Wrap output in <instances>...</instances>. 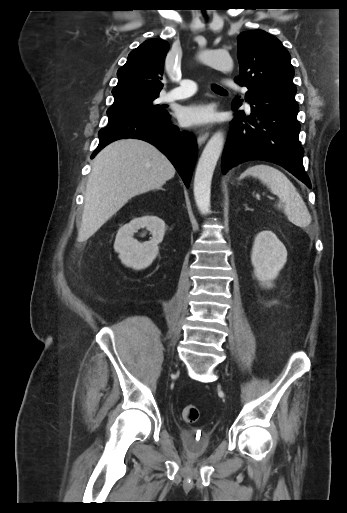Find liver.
<instances>
[{"label": "liver", "instance_id": "obj_1", "mask_svg": "<svg viewBox=\"0 0 347 513\" xmlns=\"http://www.w3.org/2000/svg\"><path fill=\"white\" fill-rule=\"evenodd\" d=\"M175 168L153 145L143 140H116L93 160L86 184L80 241L91 237L134 196L162 189Z\"/></svg>", "mask_w": 347, "mask_h": 513}]
</instances>
